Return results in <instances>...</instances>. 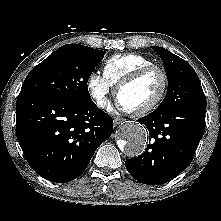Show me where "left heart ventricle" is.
<instances>
[{"mask_svg": "<svg viewBox=\"0 0 221 221\" xmlns=\"http://www.w3.org/2000/svg\"><path fill=\"white\" fill-rule=\"evenodd\" d=\"M162 87L158 71H152L134 84L124 88L119 94V102L126 108H139L152 102Z\"/></svg>", "mask_w": 221, "mask_h": 221, "instance_id": "b2bd125f", "label": "left heart ventricle"}]
</instances>
